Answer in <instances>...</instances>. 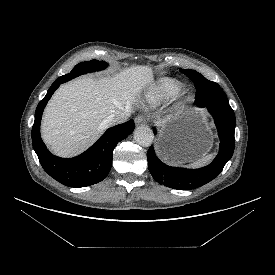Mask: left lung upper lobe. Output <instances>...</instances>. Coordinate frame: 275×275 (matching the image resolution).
<instances>
[{"label":"left lung upper lobe","instance_id":"1","mask_svg":"<svg viewBox=\"0 0 275 275\" xmlns=\"http://www.w3.org/2000/svg\"><path fill=\"white\" fill-rule=\"evenodd\" d=\"M181 71L193 80L197 89L195 95L197 102L208 100L216 104L229 105L226 95L217 83L207 80L203 75L194 70L181 69Z\"/></svg>","mask_w":275,"mask_h":275}]
</instances>
